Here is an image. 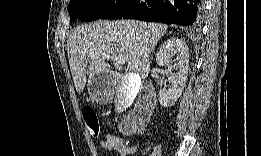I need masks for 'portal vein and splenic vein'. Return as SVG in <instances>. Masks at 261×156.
Wrapping results in <instances>:
<instances>
[{
	"instance_id": "1",
	"label": "portal vein and splenic vein",
	"mask_w": 261,
	"mask_h": 156,
	"mask_svg": "<svg viewBox=\"0 0 261 156\" xmlns=\"http://www.w3.org/2000/svg\"><path fill=\"white\" fill-rule=\"evenodd\" d=\"M101 56L106 59H111L115 64H118V65L125 64V60L122 58L112 57L108 54H102Z\"/></svg>"
}]
</instances>
